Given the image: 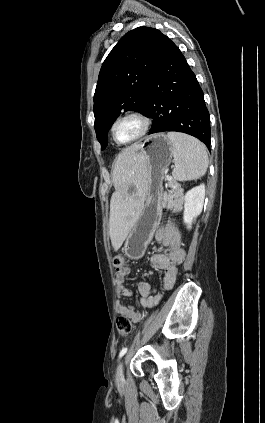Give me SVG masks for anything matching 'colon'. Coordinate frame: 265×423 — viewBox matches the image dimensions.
<instances>
[{
	"label": "colon",
	"instance_id": "colon-1",
	"mask_svg": "<svg viewBox=\"0 0 265 423\" xmlns=\"http://www.w3.org/2000/svg\"><path fill=\"white\" fill-rule=\"evenodd\" d=\"M125 259L122 255H117L113 259L116 268L124 266ZM117 331L121 336H129L132 332V323L127 315H119L116 319Z\"/></svg>",
	"mask_w": 265,
	"mask_h": 423
}]
</instances>
